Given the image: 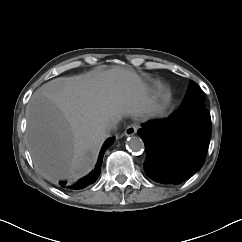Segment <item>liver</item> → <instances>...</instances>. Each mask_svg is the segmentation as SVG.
<instances>
[{"label":"liver","instance_id":"liver-1","mask_svg":"<svg viewBox=\"0 0 242 242\" xmlns=\"http://www.w3.org/2000/svg\"><path fill=\"white\" fill-rule=\"evenodd\" d=\"M158 113L161 106L135 72L113 67L59 77L27 105V147L46 179L76 180L94 168L110 120Z\"/></svg>","mask_w":242,"mask_h":242}]
</instances>
